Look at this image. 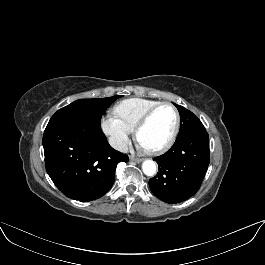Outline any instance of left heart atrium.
Returning a JSON list of instances; mask_svg holds the SVG:
<instances>
[{"label": "left heart atrium", "instance_id": "obj_1", "mask_svg": "<svg viewBox=\"0 0 265 265\" xmlns=\"http://www.w3.org/2000/svg\"><path fill=\"white\" fill-rule=\"evenodd\" d=\"M138 147L142 149H146V147L138 140Z\"/></svg>", "mask_w": 265, "mask_h": 265}]
</instances>
